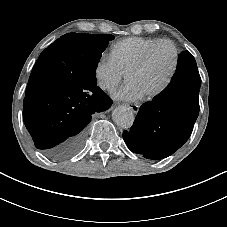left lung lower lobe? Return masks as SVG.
Returning <instances> with one entry per match:
<instances>
[{
    "instance_id": "obj_1",
    "label": "left lung lower lobe",
    "mask_w": 227,
    "mask_h": 227,
    "mask_svg": "<svg viewBox=\"0 0 227 227\" xmlns=\"http://www.w3.org/2000/svg\"><path fill=\"white\" fill-rule=\"evenodd\" d=\"M200 86L196 61L184 51L179 55L169 85L140 107L130 131L123 132L128 148L145 158L158 160L184 145L199 114Z\"/></svg>"
}]
</instances>
